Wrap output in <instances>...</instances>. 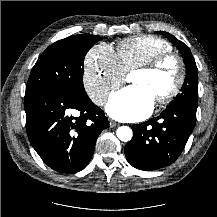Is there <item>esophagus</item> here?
Here are the masks:
<instances>
[{
	"label": "esophagus",
	"mask_w": 217,
	"mask_h": 217,
	"mask_svg": "<svg viewBox=\"0 0 217 217\" xmlns=\"http://www.w3.org/2000/svg\"><path fill=\"white\" fill-rule=\"evenodd\" d=\"M109 125H110L111 128H113V127H116V126L118 125V123H116L115 121H112V120H111V121L109 122Z\"/></svg>",
	"instance_id": "obj_1"
}]
</instances>
